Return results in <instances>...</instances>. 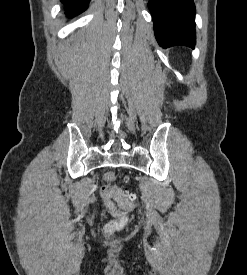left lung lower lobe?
I'll use <instances>...</instances> for the list:
<instances>
[{
  "label": "left lung lower lobe",
  "instance_id": "left-lung-lower-lobe-1",
  "mask_svg": "<svg viewBox=\"0 0 247 275\" xmlns=\"http://www.w3.org/2000/svg\"><path fill=\"white\" fill-rule=\"evenodd\" d=\"M154 31L163 48L186 46L194 49L195 5L193 0H149Z\"/></svg>",
  "mask_w": 247,
  "mask_h": 275
}]
</instances>
